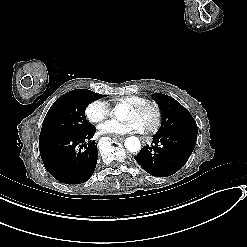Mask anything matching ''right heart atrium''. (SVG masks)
<instances>
[{
	"label": "right heart atrium",
	"mask_w": 247,
	"mask_h": 247,
	"mask_svg": "<svg viewBox=\"0 0 247 247\" xmlns=\"http://www.w3.org/2000/svg\"><path fill=\"white\" fill-rule=\"evenodd\" d=\"M111 112L110 106L99 99L92 100L85 107L86 118L91 123H100L103 121Z\"/></svg>",
	"instance_id": "d8ad5b80"
}]
</instances>
